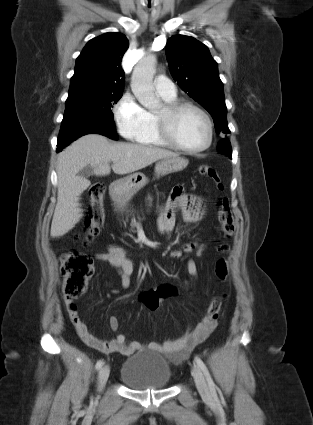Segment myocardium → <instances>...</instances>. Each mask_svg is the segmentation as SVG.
Masks as SVG:
<instances>
[{"instance_id":"myocardium-1","label":"myocardium","mask_w":313,"mask_h":425,"mask_svg":"<svg viewBox=\"0 0 313 425\" xmlns=\"http://www.w3.org/2000/svg\"><path fill=\"white\" fill-rule=\"evenodd\" d=\"M189 110L198 112L206 121L208 128V138L204 145L198 148H188L181 144L175 135V123L179 116ZM157 131L160 138L170 147L187 154H198L207 150L213 143L214 125L209 114L198 105L190 102H174L167 104L161 113L156 115Z\"/></svg>"}]
</instances>
